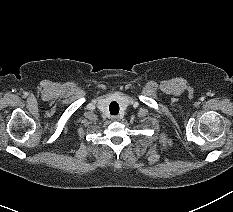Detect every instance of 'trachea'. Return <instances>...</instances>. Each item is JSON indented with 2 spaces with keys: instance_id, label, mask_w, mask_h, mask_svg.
Returning <instances> with one entry per match:
<instances>
[{
  "instance_id": "3493384b",
  "label": "trachea",
  "mask_w": 233,
  "mask_h": 212,
  "mask_svg": "<svg viewBox=\"0 0 233 212\" xmlns=\"http://www.w3.org/2000/svg\"><path fill=\"white\" fill-rule=\"evenodd\" d=\"M109 110L112 115H117L119 113V105L117 102L113 101L109 105Z\"/></svg>"
}]
</instances>
